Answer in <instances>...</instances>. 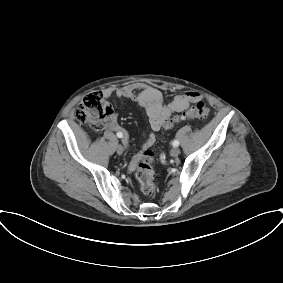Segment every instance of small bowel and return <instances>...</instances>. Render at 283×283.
<instances>
[{
	"label": "small bowel",
	"instance_id": "small-bowel-1",
	"mask_svg": "<svg viewBox=\"0 0 283 283\" xmlns=\"http://www.w3.org/2000/svg\"><path fill=\"white\" fill-rule=\"evenodd\" d=\"M105 97L115 96L117 98H124L136 101L146 112L150 128L153 131H158L164 122L174 112H181L188 108L191 104L202 99L201 95L195 91H188L176 95L171 102L165 103L161 91L154 87L144 84H133L121 88H107L103 91ZM107 129L112 132H123L124 129L117 121L116 114L113 113L112 117L107 123ZM125 143L127 135L125 134ZM155 141V136L151 133L142 145V151L148 149ZM141 152L136 154L128 165V171L133 172L141 157Z\"/></svg>",
	"mask_w": 283,
	"mask_h": 283
}]
</instances>
